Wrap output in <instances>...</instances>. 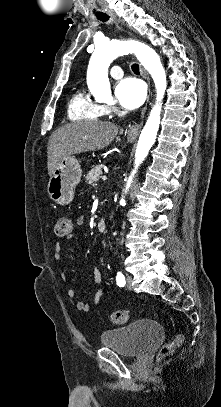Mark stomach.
<instances>
[{"label": "stomach", "instance_id": "1", "mask_svg": "<svg viewBox=\"0 0 221 407\" xmlns=\"http://www.w3.org/2000/svg\"><path fill=\"white\" fill-rule=\"evenodd\" d=\"M132 140V136H128ZM82 177L79 161L74 156H68L59 162L53 175L50 176L47 192L51 200L60 205L69 204L75 193V188Z\"/></svg>", "mask_w": 221, "mask_h": 407}]
</instances>
